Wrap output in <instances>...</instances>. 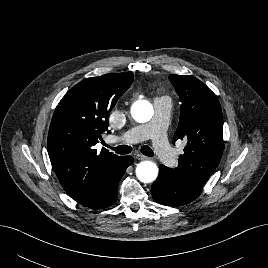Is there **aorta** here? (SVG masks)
<instances>
[{"label": "aorta", "mask_w": 268, "mask_h": 268, "mask_svg": "<svg viewBox=\"0 0 268 268\" xmlns=\"http://www.w3.org/2000/svg\"><path fill=\"white\" fill-rule=\"evenodd\" d=\"M153 106L146 100H138L131 107V115L136 122L145 123L153 116ZM136 176L142 183L153 182L158 176V167L152 161H142L136 167Z\"/></svg>", "instance_id": "1"}]
</instances>
